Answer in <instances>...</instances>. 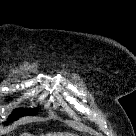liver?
I'll use <instances>...</instances> for the list:
<instances>
[{"mask_svg": "<svg viewBox=\"0 0 136 136\" xmlns=\"http://www.w3.org/2000/svg\"><path fill=\"white\" fill-rule=\"evenodd\" d=\"M49 135L50 136H72V134H66V133H54ZM23 136H30V134L24 133Z\"/></svg>", "mask_w": 136, "mask_h": 136, "instance_id": "obj_1", "label": "liver"}]
</instances>
